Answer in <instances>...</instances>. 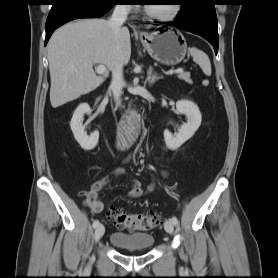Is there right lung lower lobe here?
<instances>
[{
    "label": "right lung lower lobe",
    "mask_w": 278,
    "mask_h": 278,
    "mask_svg": "<svg viewBox=\"0 0 278 278\" xmlns=\"http://www.w3.org/2000/svg\"><path fill=\"white\" fill-rule=\"evenodd\" d=\"M116 3L115 1L61 0L53 4L46 21L45 45L54 30L64 23L79 18L100 17L107 13Z\"/></svg>",
    "instance_id": "obj_1"
}]
</instances>
